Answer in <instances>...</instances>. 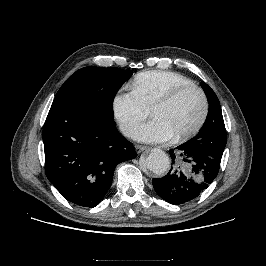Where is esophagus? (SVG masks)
I'll list each match as a JSON object with an SVG mask.
<instances>
[{
	"instance_id": "1",
	"label": "esophagus",
	"mask_w": 266,
	"mask_h": 266,
	"mask_svg": "<svg viewBox=\"0 0 266 266\" xmlns=\"http://www.w3.org/2000/svg\"><path fill=\"white\" fill-rule=\"evenodd\" d=\"M147 149H148V147H146V146H142V145H136L135 146V150L138 154L147 150Z\"/></svg>"
}]
</instances>
